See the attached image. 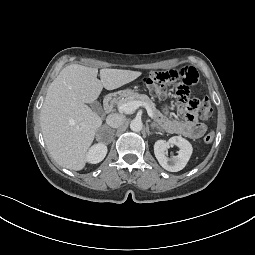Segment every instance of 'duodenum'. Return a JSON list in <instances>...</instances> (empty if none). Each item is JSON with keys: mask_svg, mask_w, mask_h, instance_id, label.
<instances>
[{"mask_svg": "<svg viewBox=\"0 0 255 255\" xmlns=\"http://www.w3.org/2000/svg\"><path fill=\"white\" fill-rule=\"evenodd\" d=\"M123 96L122 92H116L113 94L108 95L103 102V107L105 112L109 113L112 111L114 105L117 103V101Z\"/></svg>", "mask_w": 255, "mask_h": 255, "instance_id": "obj_1", "label": "duodenum"}]
</instances>
